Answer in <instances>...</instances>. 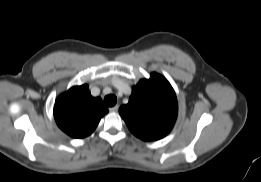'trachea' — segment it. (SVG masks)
<instances>
[{"label":"trachea","mask_w":261,"mask_h":182,"mask_svg":"<svg viewBox=\"0 0 261 182\" xmlns=\"http://www.w3.org/2000/svg\"><path fill=\"white\" fill-rule=\"evenodd\" d=\"M104 102L107 106L112 107L117 102V97L115 95H108L104 98Z\"/></svg>","instance_id":"obj_1"}]
</instances>
